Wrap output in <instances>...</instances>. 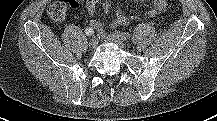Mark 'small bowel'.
<instances>
[{
  "label": "small bowel",
  "instance_id": "c3829d8e",
  "mask_svg": "<svg viewBox=\"0 0 217 121\" xmlns=\"http://www.w3.org/2000/svg\"><path fill=\"white\" fill-rule=\"evenodd\" d=\"M99 1L100 0H87L86 1L85 7L89 15L92 16L95 14L96 7ZM134 1H140V0H134ZM152 1H153V7L148 11V17L150 18L155 17L159 12L163 11L167 5L166 0H152ZM69 5L72 8L77 7L78 5L77 0H69ZM111 7H112L111 1L105 0L103 4L104 11L109 12L111 10ZM136 19H138V16L136 15L128 17L125 13L121 11H117L110 25L111 27L116 28L119 26L127 25L130 20H136ZM90 27L103 35L105 34L103 23L97 19H92L90 21Z\"/></svg>",
  "mask_w": 217,
  "mask_h": 121
}]
</instances>
